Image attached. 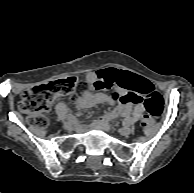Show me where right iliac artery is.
<instances>
[{"label": "right iliac artery", "mask_w": 194, "mask_h": 193, "mask_svg": "<svg viewBox=\"0 0 194 193\" xmlns=\"http://www.w3.org/2000/svg\"><path fill=\"white\" fill-rule=\"evenodd\" d=\"M68 120L76 122V117L72 114H69L67 117Z\"/></svg>", "instance_id": "1"}]
</instances>
